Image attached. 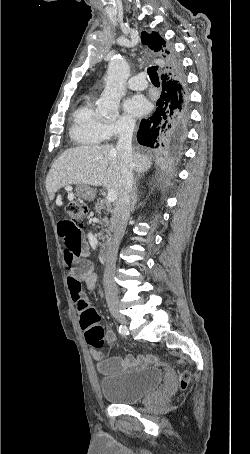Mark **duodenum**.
I'll return each instance as SVG.
<instances>
[{"instance_id":"duodenum-1","label":"duodenum","mask_w":250,"mask_h":454,"mask_svg":"<svg viewBox=\"0 0 250 454\" xmlns=\"http://www.w3.org/2000/svg\"><path fill=\"white\" fill-rule=\"evenodd\" d=\"M102 257L105 262H109L112 256V246L109 242H106L101 247Z\"/></svg>"}]
</instances>
